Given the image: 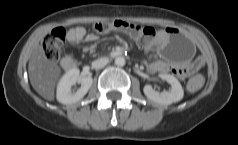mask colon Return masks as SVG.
I'll use <instances>...</instances> for the list:
<instances>
[{
    "label": "colon",
    "instance_id": "colon-1",
    "mask_svg": "<svg viewBox=\"0 0 238 145\" xmlns=\"http://www.w3.org/2000/svg\"><path fill=\"white\" fill-rule=\"evenodd\" d=\"M93 31L97 35H103L110 32H123L134 38L138 44L151 49L156 43L161 32L150 26H142L125 20H114L111 22L96 23ZM66 43V31L63 28H55L50 31L43 40V51L46 59L57 61L63 51ZM204 83L201 75H196L189 80L188 88L191 91L199 90Z\"/></svg>",
    "mask_w": 238,
    "mask_h": 145
}]
</instances>
